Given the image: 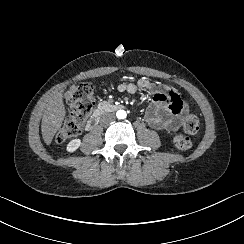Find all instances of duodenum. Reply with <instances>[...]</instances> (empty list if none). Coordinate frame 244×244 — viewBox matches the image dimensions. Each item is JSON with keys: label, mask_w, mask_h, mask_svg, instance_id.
I'll return each instance as SVG.
<instances>
[{"label": "duodenum", "mask_w": 244, "mask_h": 244, "mask_svg": "<svg viewBox=\"0 0 244 244\" xmlns=\"http://www.w3.org/2000/svg\"><path fill=\"white\" fill-rule=\"evenodd\" d=\"M122 107L123 106L121 104H118V103H109V104L101 103L99 108L97 109V111L95 113V117L92 118V120L89 123V128L92 129L95 126L96 119L102 115V113L105 109L107 111L108 110H120V109H122Z\"/></svg>", "instance_id": "duodenum-1"}]
</instances>
